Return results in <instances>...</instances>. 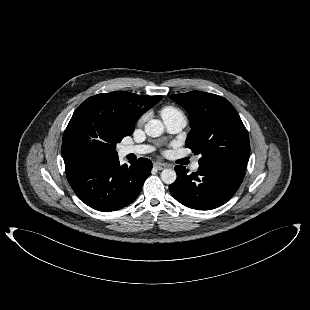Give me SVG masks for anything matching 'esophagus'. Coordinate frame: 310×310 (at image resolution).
Masks as SVG:
<instances>
[{
    "instance_id": "esophagus-1",
    "label": "esophagus",
    "mask_w": 310,
    "mask_h": 310,
    "mask_svg": "<svg viewBox=\"0 0 310 310\" xmlns=\"http://www.w3.org/2000/svg\"><path fill=\"white\" fill-rule=\"evenodd\" d=\"M154 167L158 170H163V169L167 168V165L163 164V163L156 162V163H154Z\"/></svg>"
}]
</instances>
